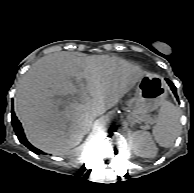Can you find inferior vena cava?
I'll return each instance as SVG.
<instances>
[{"label":"inferior vena cava","mask_w":194,"mask_h":193,"mask_svg":"<svg viewBox=\"0 0 194 193\" xmlns=\"http://www.w3.org/2000/svg\"><path fill=\"white\" fill-rule=\"evenodd\" d=\"M103 112H104L103 109L95 108V109H93V111L91 112L90 118H94V117H96L97 115L102 114Z\"/></svg>","instance_id":"602c4592"}]
</instances>
